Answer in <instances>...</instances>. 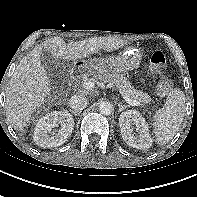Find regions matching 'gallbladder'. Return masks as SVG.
<instances>
[{"label": "gallbladder", "instance_id": "gallbladder-1", "mask_svg": "<svg viewBox=\"0 0 197 197\" xmlns=\"http://www.w3.org/2000/svg\"><path fill=\"white\" fill-rule=\"evenodd\" d=\"M41 60L44 68L49 73V75H54V70L52 69V66L55 62V58L52 56V54L48 51H44L41 55Z\"/></svg>", "mask_w": 197, "mask_h": 197}]
</instances>
